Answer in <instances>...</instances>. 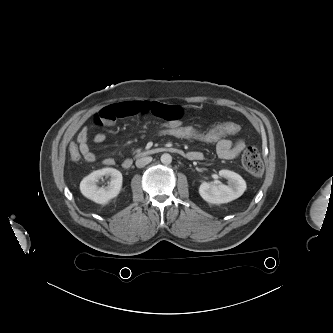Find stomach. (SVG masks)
I'll use <instances>...</instances> for the list:
<instances>
[{
    "label": "stomach",
    "mask_w": 333,
    "mask_h": 333,
    "mask_svg": "<svg viewBox=\"0 0 333 333\" xmlns=\"http://www.w3.org/2000/svg\"><path fill=\"white\" fill-rule=\"evenodd\" d=\"M200 110H201L203 113H204L205 111H206L207 113H208V112H209V113H210V112L212 113V112L214 111V109H213L212 107H211V108L209 107V108H207L206 110L202 107ZM179 112H180L181 114H185V113H186V114H187V113L190 114L191 112H193L194 114H195V113L197 114L199 111H198V109L195 107V108L193 109V111H191L190 109H189V110H187V109H186V110H185V109H181Z\"/></svg>",
    "instance_id": "stomach-1"
}]
</instances>
